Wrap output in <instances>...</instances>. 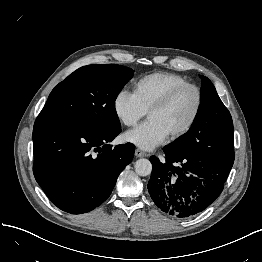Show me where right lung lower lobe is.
<instances>
[{
	"instance_id": "obj_1",
	"label": "right lung lower lobe",
	"mask_w": 262,
	"mask_h": 262,
	"mask_svg": "<svg viewBox=\"0 0 262 262\" xmlns=\"http://www.w3.org/2000/svg\"><path fill=\"white\" fill-rule=\"evenodd\" d=\"M121 127L103 130L77 120L39 114L33 128V173L48 198L71 214L89 212L111 194L131 163L134 145L112 148Z\"/></svg>"
}]
</instances>
